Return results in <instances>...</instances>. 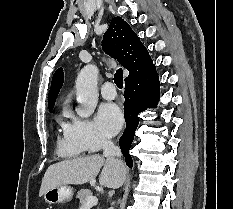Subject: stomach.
<instances>
[{
	"instance_id": "obj_1",
	"label": "stomach",
	"mask_w": 233,
	"mask_h": 209,
	"mask_svg": "<svg viewBox=\"0 0 233 209\" xmlns=\"http://www.w3.org/2000/svg\"><path fill=\"white\" fill-rule=\"evenodd\" d=\"M73 189L67 185H61L47 190L43 194V199L48 204H62L71 201Z\"/></svg>"
}]
</instances>
